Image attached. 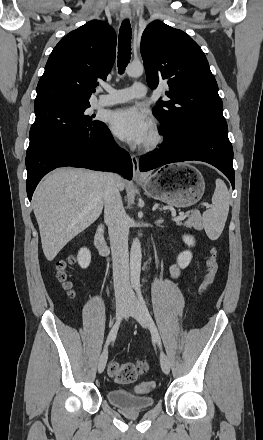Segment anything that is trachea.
Wrapping results in <instances>:
<instances>
[{
	"label": "trachea",
	"instance_id": "obj_1",
	"mask_svg": "<svg viewBox=\"0 0 263 440\" xmlns=\"http://www.w3.org/2000/svg\"><path fill=\"white\" fill-rule=\"evenodd\" d=\"M131 26L124 20L120 27L118 39V71L123 74L131 59Z\"/></svg>",
	"mask_w": 263,
	"mask_h": 440
}]
</instances>
